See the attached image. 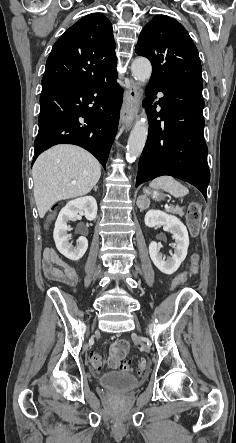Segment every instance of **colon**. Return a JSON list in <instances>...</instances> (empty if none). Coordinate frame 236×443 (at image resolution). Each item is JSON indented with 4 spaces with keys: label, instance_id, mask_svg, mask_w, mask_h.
I'll return each instance as SVG.
<instances>
[{
    "label": "colon",
    "instance_id": "1",
    "mask_svg": "<svg viewBox=\"0 0 236 443\" xmlns=\"http://www.w3.org/2000/svg\"><path fill=\"white\" fill-rule=\"evenodd\" d=\"M200 220H201V204L198 202H192L187 210L186 223L190 234L192 236H197L200 230ZM198 253H193L190 258V269L182 273L174 282L172 287L176 288L181 283H183L189 276L194 275L198 272L199 264ZM130 351V343L126 339H117L113 341L109 348V357L107 362L99 353H94L91 355V364L95 369H103L106 365L109 368L117 369L122 368L129 370L131 363L126 360V356ZM138 369L140 372H144L147 369L146 363L141 361L139 363Z\"/></svg>",
    "mask_w": 236,
    "mask_h": 443
}]
</instances>
